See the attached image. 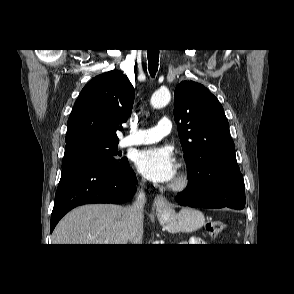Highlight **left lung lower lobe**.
<instances>
[{
    "label": "left lung lower lobe",
    "mask_w": 294,
    "mask_h": 294,
    "mask_svg": "<svg viewBox=\"0 0 294 294\" xmlns=\"http://www.w3.org/2000/svg\"><path fill=\"white\" fill-rule=\"evenodd\" d=\"M178 204L190 207L243 209L245 185L242 174L213 173L201 185L189 183L176 197Z\"/></svg>",
    "instance_id": "1"
}]
</instances>
